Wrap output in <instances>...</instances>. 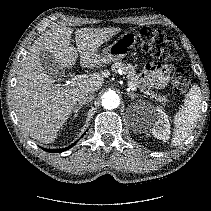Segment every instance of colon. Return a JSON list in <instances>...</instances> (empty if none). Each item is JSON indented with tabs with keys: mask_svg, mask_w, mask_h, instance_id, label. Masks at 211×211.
I'll return each instance as SVG.
<instances>
[{
	"mask_svg": "<svg viewBox=\"0 0 211 211\" xmlns=\"http://www.w3.org/2000/svg\"><path fill=\"white\" fill-rule=\"evenodd\" d=\"M143 51L164 61L173 62L181 59L182 52L177 42L162 30L142 28L139 32ZM171 88L176 94H183L189 87V75L179 66H172L170 71Z\"/></svg>",
	"mask_w": 211,
	"mask_h": 211,
	"instance_id": "5ec220e1",
	"label": "colon"
}]
</instances>
